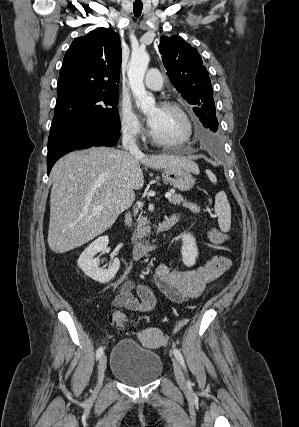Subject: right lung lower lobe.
Segmentation results:
<instances>
[{
	"label": "right lung lower lobe",
	"instance_id": "98d812e1",
	"mask_svg": "<svg viewBox=\"0 0 299 427\" xmlns=\"http://www.w3.org/2000/svg\"><path fill=\"white\" fill-rule=\"evenodd\" d=\"M120 137L119 129L86 123H75L50 131L48 138L47 174L66 153L92 146H113Z\"/></svg>",
	"mask_w": 299,
	"mask_h": 427
}]
</instances>
